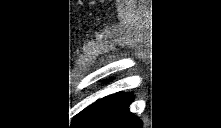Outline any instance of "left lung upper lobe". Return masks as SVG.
I'll return each instance as SVG.
<instances>
[{
	"label": "left lung upper lobe",
	"mask_w": 221,
	"mask_h": 128,
	"mask_svg": "<svg viewBox=\"0 0 221 128\" xmlns=\"http://www.w3.org/2000/svg\"><path fill=\"white\" fill-rule=\"evenodd\" d=\"M90 106H91V105H90ZM90 106H89V107H90ZM87 108H88V107H87ZM87 108H85V109H87ZM85 109H84V110H85ZM84 110H83V111H84ZM81 112H82V111H81ZM81 112H80V113H81ZM80 113H78V114H80ZM78 114H77V115H78Z\"/></svg>",
	"instance_id": "left-lung-upper-lobe-1"
}]
</instances>
